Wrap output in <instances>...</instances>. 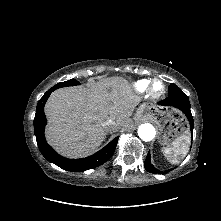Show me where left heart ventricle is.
<instances>
[{"mask_svg": "<svg viewBox=\"0 0 221 221\" xmlns=\"http://www.w3.org/2000/svg\"><path fill=\"white\" fill-rule=\"evenodd\" d=\"M155 89H156V90H160V89H161V85H160V84H157V85L155 86Z\"/></svg>", "mask_w": 221, "mask_h": 221, "instance_id": "left-heart-ventricle-1", "label": "left heart ventricle"}]
</instances>
